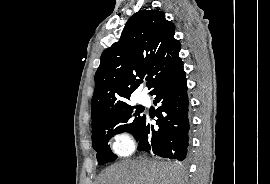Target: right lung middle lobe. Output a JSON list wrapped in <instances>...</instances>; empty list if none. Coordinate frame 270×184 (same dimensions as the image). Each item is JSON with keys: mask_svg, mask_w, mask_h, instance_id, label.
Segmentation results:
<instances>
[{"mask_svg": "<svg viewBox=\"0 0 270 184\" xmlns=\"http://www.w3.org/2000/svg\"><path fill=\"white\" fill-rule=\"evenodd\" d=\"M135 108L127 104L110 116L92 124V144L97 152L99 165L117 158L108 145L113 135L124 131L132 133L134 137L137 135L145 116H140L139 110Z\"/></svg>", "mask_w": 270, "mask_h": 184, "instance_id": "right-lung-middle-lobe-1", "label": "right lung middle lobe"}]
</instances>
